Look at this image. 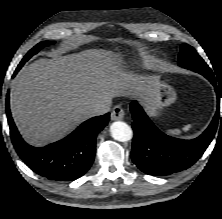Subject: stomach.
I'll use <instances>...</instances> for the list:
<instances>
[{
	"label": "stomach",
	"mask_w": 222,
	"mask_h": 219,
	"mask_svg": "<svg viewBox=\"0 0 222 219\" xmlns=\"http://www.w3.org/2000/svg\"><path fill=\"white\" fill-rule=\"evenodd\" d=\"M176 99V91L171 85L155 79L150 90L146 94L144 104L148 113L153 117H157L164 107L171 105Z\"/></svg>",
	"instance_id": "1"
}]
</instances>
